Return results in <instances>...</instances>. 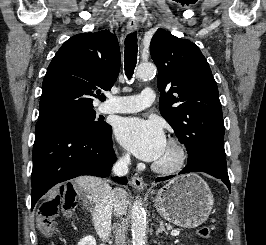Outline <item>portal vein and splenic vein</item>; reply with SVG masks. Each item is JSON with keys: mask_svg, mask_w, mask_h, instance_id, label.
<instances>
[{"mask_svg": "<svg viewBox=\"0 0 266 245\" xmlns=\"http://www.w3.org/2000/svg\"><path fill=\"white\" fill-rule=\"evenodd\" d=\"M172 237H178L180 235V231H171Z\"/></svg>", "mask_w": 266, "mask_h": 245, "instance_id": "portal-vein-and-splenic-vein-1", "label": "portal vein and splenic vein"}]
</instances>
